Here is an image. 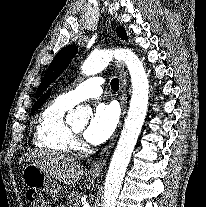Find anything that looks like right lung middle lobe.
I'll list each match as a JSON object with an SVG mask.
<instances>
[{"label": "right lung middle lobe", "instance_id": "right-lung-middle-lobe-1", "mask_svg": "<svg viewBox=\"0 0 206 207\" xmlns=\"http://www.w3.org/2000/svg\"><path fill=\"white\" fill-rule=\"evenodd\" d=\"M36 109H37V108H35V109H32V111H31V112L33 113V112H34Z\"/></svg>", "mask_w": 206, "mask_h": 207}]
</instances>
